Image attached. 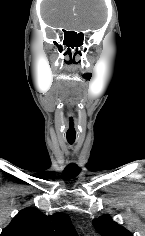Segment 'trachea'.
I'll return each instance as SVG.
<instances>
[{
	"instance_id": "obj_1",
	"label": "trachea",
	"mask_w": 145,
	"mask_h": 236,
	"mask_svg": "<svg viewBox=\"0 0 145 236\" xmlns=\"http://www.w3.org/2000/svg\"><path fill=\"white\" fill-rule=\"evenodd\" d=\"M69 143H70V144H73V142H72V141H69Z\"/></svg>"
}]
</instances>
